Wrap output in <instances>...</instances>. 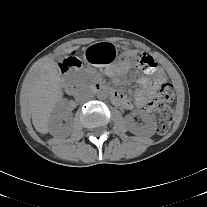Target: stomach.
<instances>
[{
	"label": "stomach",
	"mask_w": 207,
	"mask_h": 207,
	"mask_svg": "<svg viewBox=\"0 0 207 207\" xmlns=\"http://www.w3.org/2000/svg\"><path fill=\"white\" fill-rule=\"evenodd\" d=\"M84 58L89 65L109 70L117 64L118 53L112 43L97 42L87 47Z\"/></svg>",
	"instance_id": "1"
}]
</instances>
